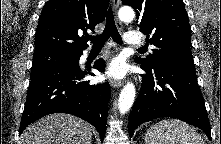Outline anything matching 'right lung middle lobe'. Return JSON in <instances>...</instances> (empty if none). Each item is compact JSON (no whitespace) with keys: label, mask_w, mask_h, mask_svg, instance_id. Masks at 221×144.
I'll return each instance as SVG.
<instances>
[{"label":"right lung middle lobe","mask_w":221,"mask_h":144,"mask_svg":"<svg viewBox=\"0 0 221 144\" xmlns=\"http://www.w3.org/2000/svg\"><path fill=\"white\" fill-rule=\"evenodd\" d=\"M79 54L58 51L34 53L30 78H35L54 68L73 63L78 59Z\"/></svg>","instance_id":"right-lung-middle-lobe-1"}]
</instances>
